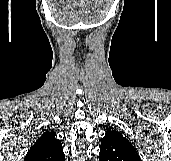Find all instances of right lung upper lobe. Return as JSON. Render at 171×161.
Wrapping results in <instances>:
<instances>
[{
    "instance_id": "obj_1",
    "label": "right lung upper lobe",
    "mask_w": 171,
    "mask_h": 161,
    "mask_svg": "<svg viewBox=\"0 0 171 161\" xmlns=\"http://www.w3.org/2000/svg\"><path fill=\"white\" fill-rule=\"evenodd\" d=\"M24 161H65L62 144L56 133H43L30 148Z\"/></svg>"
}]
</instances>
